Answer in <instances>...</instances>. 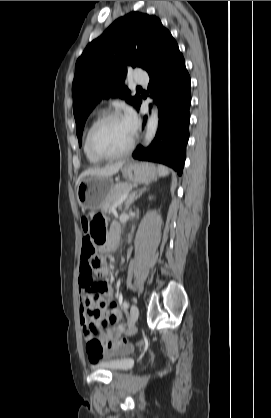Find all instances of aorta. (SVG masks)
<instances>
[{
  "instance_id": "obj_1",
  "label": "aorta",
  "mask_w": 271,
  "mask_h": 418,
  "mask_svg": "<svg viewBox=\"0 0 271 418\" xmlns=\"http://www.w3.org/2000/svg\"><path fill=\"white\" fill-rule=\"evenodd\" d=\"M158 109L156 106L152 108L151 115L148 119L147 126H146V133H145V146H148L153 138L156 135L157 128H158Z\"/></svg>"
}]
</instances>
